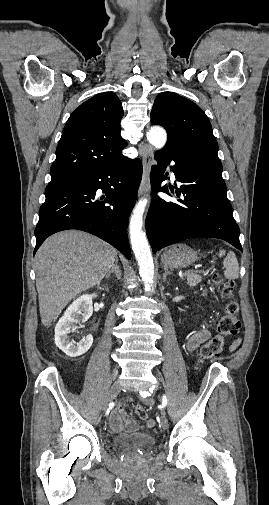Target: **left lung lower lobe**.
<instances>
[{
    "label": "left lung lower lobe",
    "mask_w": 269,
    "mask_h": 505,
    "mask_svg": "<svg viewBox=\"0 0 269 505\" xmlns=\"http://www.w3.org/2000/svg\"><path fill=\"white\" fill-rule=\"evenodd\" d=\"M154 157L158 164L151 169L153 190L170 195L167 185H160L171 161L175 162L172 170L181 184L175 191L170 187L174 202L155 194L152 197L145 225L153 253L193 237L223 239L242 251L239 227L226 196L222 164L178 145L156 152Z\"/></svg>",
    "instance_id": "left-lung-lower-lobe-1"
}]
</instances>
